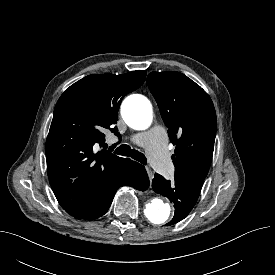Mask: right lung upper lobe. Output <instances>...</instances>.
Returning <instances> with one entry per match:
<instances>
[{
	"instance_id": "right-lung-upper-lobe-1",
	"label": "right lung upper lobe",
	"mask_w": 275,
	"mask_h": 275,
	"mask_svg": "<svg viewBox=\"0 0 275 275\" xmlns=\"http://www.w3.org/2000/svg\"><path fill=\"white\" fill-rule=\"evenodd\" d=\"M145 77V71L89 75L59 98L45 151L52 189L70 215L77 218L91 210L125 167L127 158L95 148L104 144L105 129L119 135L114 124L120 103Z\"/></svg>"
}]
</instances>
